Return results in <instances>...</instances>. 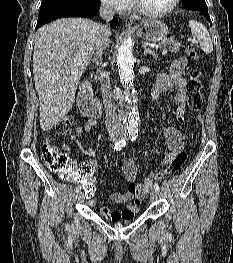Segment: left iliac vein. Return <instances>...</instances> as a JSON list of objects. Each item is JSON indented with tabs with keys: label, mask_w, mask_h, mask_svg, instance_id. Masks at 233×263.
Here are the masks:
<instances>
[{
	"label": "left iliac vein",
	"mask_w": 233,
	"mask_h": 263,
	"mask_svg": "<svg viewBox=\"0 0 233 263\" xmlns=\"http://www.w3.org/2000/svg\"><path fill=\"white\" fill-rule=\"evenodd\" d=\"M158 197H159L158 191L153 190V191L151 192V194H150V200H151L152 202H155V201L158 200Z\"/></svg>",
	"instance_id": "obj_1"
}]
</instances>
